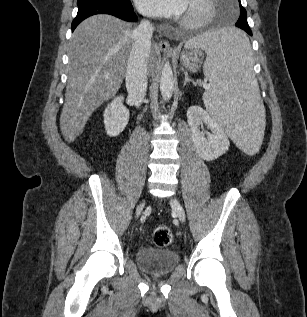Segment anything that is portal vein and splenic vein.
Instances as JSON below:
<instances>
[{"label":"portal vein and splenic vein","instance_id":"obj_1","mask_svg":"<svg viewBox=\"0 0 307 317\" xmlns=\"http://www.w3.org/2000/svg\"><path fill=\"white\" fill-rule=\"evenodd\" d=\"M203 87H204L205 89H209V88H210V85H208V84H206V83H203Z\"/></svg>","mask_w":307,"mask_h":317}]
</instances>
